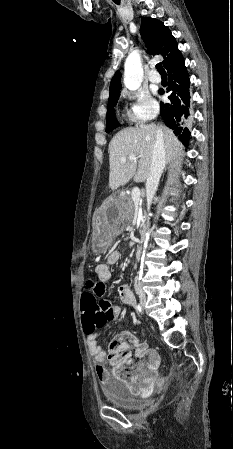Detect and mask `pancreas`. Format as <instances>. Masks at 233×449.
<instances>
[{
  "label": "pancreas",
  "mask_w": 233,
  "mask_h": 449,
  "mask_svg": "<svg viewBox=\"0 0 233 449\" xmlns=\"http://www.w3.org/2000/svg\"><path fill=\"white\" fill-rule=\"evenodd\" d=\"M119 203L123 218H132L135 214V206L132 198L129 195H124L120 197Z\"/></svg>",
  "instance_id": "cf45deb5"
}]
</instances>
